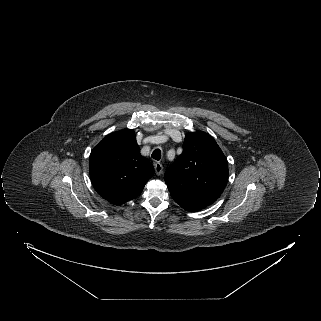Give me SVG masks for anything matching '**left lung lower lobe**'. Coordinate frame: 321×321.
<instances>
[{
	"label": "left lung lower lobe",
	"mask_w": 321,
	"mask_h": 321,
	"mask_svg": "<svg viewBox=\"0 0 321 321\" xmlns=\"http://www.w3.org/2000/svg\"><path fill=\"white\" fill-rule=\"evenodd\" d=\"M187 211L195 212V211H199V210H187Z\"/></svg>",
	"instance_id": "0a47b994"
}]
</instances>
